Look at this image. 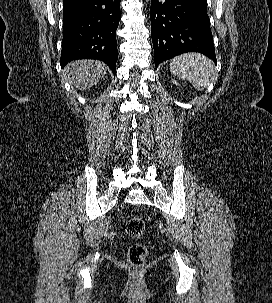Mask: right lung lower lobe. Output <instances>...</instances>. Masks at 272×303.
I'll list each match as a JSON object with an SVG mask.
<instances>
[{
	"instance_id": "98d812e1",
	"label": "right lung lower lobe",
	"mask_w": 272,
	"mask_h": 303,
	"mask_svg": "<svg viewBox=\"0 0 272 303\" xmlns=\"http://www.w3.org/2000/svg\"><path fill=\"white\" fill-rule=\"evenodd\" d=\"M120 1L77 0L63 5L61 67L76 59H98L116 73Z\"/></svg>"
}]
</instances>
